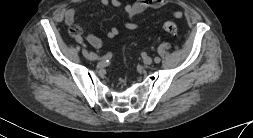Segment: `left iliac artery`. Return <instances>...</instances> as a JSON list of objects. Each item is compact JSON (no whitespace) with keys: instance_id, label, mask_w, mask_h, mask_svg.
<instances>
[{"instance_id":"1","label":"left iliac artery","mask_w":253,"mask_h":138,"mask_svg":"<svg viewBox=\"0 0 253 138\" xmlns=\"http://www.w3.org/2000/svg\"><path fill=\"white\" fill-rule=\"evenodd\" d=\"M155 63H160L161 59L159 57L154 58Z\"/></svg>"}]
</instances>
